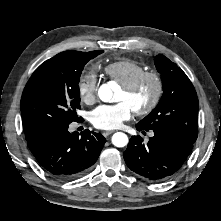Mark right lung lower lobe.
I'll use <instances>...</instances> for the list:
<instances>
[{"label": "right lung lower lobe", "mask_w": 221, "mask_h": 221, "mask_svg": "<svg viewBox=\"0 0 221 221\" xmlns=\"http://www.w3.org/2000/svg\"><path fill=\"white\" fill-rule=\"evenodd\" d=\"M69 124L51 128L27 141L41 168L59 180L83 175L97 161L106 139L100 133L68 131Z\"/></svg>", "instance_id": "98d812e1"}]
</instances>
